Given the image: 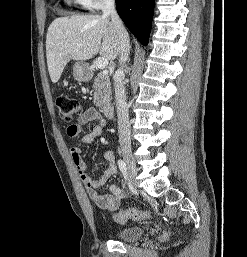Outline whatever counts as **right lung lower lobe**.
<instances>
[{
  "label": "right lung lower lobe",
  "instance_id": "98d812e1",
  "mask_svg": "<svg viewBox=\"0 0 247 257\" xmlns=\"http://www.w3.org/2000/svg\"><path fill=\"white\" fill-rule=\"evenodd\" d=\"M116 7L128 29L143 45H147L154 0H116Z\"/></svg>",
  "mask_w": 247,
  "mask_h": 257
}]
</instances>
